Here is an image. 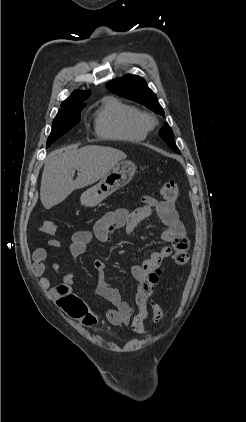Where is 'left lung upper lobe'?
Wrapping results in <instances>:
<instances>
[{
  "label": "left lung upper lobe",
  "mask_w": 246,
  "mask_h": 422,
  "mask_svg": "<svg viewBox=\"0 0 246 422\" xmlns=\"http://www.w3.org/2000/svg\"><path fill=\"white\" fill-rule=\"evenodd\" d=\"M106 87L114 94L140 103L164 116V111L160 106L156 95L147 86V83L143 78L137 75L127 74L123 78L114 79L108 82ZM159 136L171 149L178 154L180 153L173 139V131L167 123L160 129Z\"/></svg>",
  "instance_id": "obj_1"
}]
</instances>
